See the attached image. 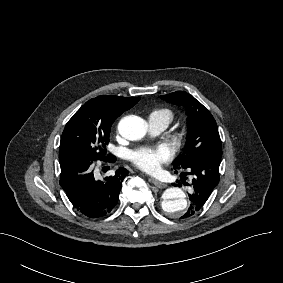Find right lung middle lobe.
Instances as JSON below:
<instances>
[{"instance_id": "right-lung-middle-lobe-1", "label": "right lung middle lobe", "mask_w": 283, "mask_h": 283, "mask_svg": "<svg viewBox=\"0 0 283 283\" xmlns=\"http://www.w3.org/2000/svg\"><path fill=\"white\" fill-rule=\"evenodd\" d=\"M139 100L140 97H96L87 101L65 126L60 141L59 159L84 155L92 160H104L111 125Z\"/></svg>"}]
</instances>
